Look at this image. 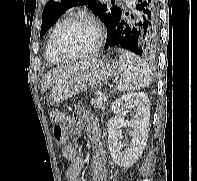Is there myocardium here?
Returning a JSON list of instances; mask_svg holds the SVG:
<instances>
[{"label":"myocardium","instance_id":"1","mask_svg":"<svg viewBox=\"0 0 197 181\" xmlns=\"http://www.w3.org/2000/svg\"><path fill=\"white\" fill-rule=\"evenodd\" d=\"M80 23L89 24L94 28V30L96 32V42H95L93 48L91 50H89L88 52L78 54V55H75L72 57H66L63 55V53L61 51V47H60V42L62 40V37L64 36L65 32L70 27H72L73 25H76V24H80ZM103 42H104V32H103V29H102L101 25L99 24V22L96 19H94L93 17L78 16V17H73V18L68 19L62 25V27L59 29V31L55 37V41H54V51H55L57 58L61 62H66V63L73 62V61L83 60V59H87V58H91V57L95 56L99 52V50L101 49Z\"/></svg>","mask_w":197,"mask_h":181}]
</instances>
